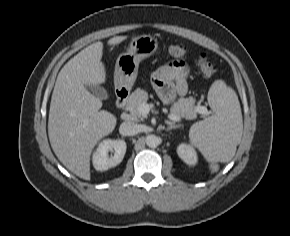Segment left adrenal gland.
Segmentation results:
<instances>
[{
  "instance_id": "obj_1",
  "label": "left adrenal gland",
  "mask_w": 290,
  "mask_h": 236,
  "mask_svg": "<svg viewBox=\"0 0 290 236\" xmlns=\"http://www.w3.org/2000/svg\"><path fill=\"white\" fill-rule=\"evenodd\" d=\"M181 125H171L167 128H165L166 131H169V130H172V129H176V128H179Z\"/></svg>"
}]
</instances>
